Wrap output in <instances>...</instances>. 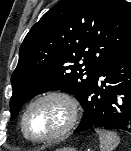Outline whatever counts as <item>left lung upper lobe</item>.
<instances>
[{"mask_svg":"<svg viewBox=\"0 0 131 151\" xmlns=\"http://www.w3.org/2000/svg\"><path fill=\"white\" fill-rule=\"evenodd\" d=\"M130 43L131 10L124 0H61L20 47L11 76V120L27 100L50 90L75 95L83 107L100 66Z\"/></svg>","mask_w":131,"mask_h":151,"instance_id":"5c2ea615","label":"left lung upper lobe"}]
</instances>
